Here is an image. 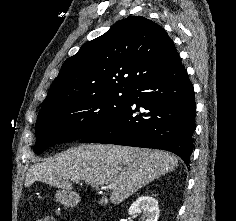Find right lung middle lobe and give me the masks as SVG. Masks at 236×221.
I'll list each match as a JSON object with an SVG mask.
<instances>
[{"mask_svg": "<svg viewBox=\"0 0 236 221\" xmlns=\"http://www.w3.org/2000/svg\"><path fill=\"white\" fill-rule=\"evenodd\" d=\"M129 97L130 90L109 91L42 108L35 127V152L41 154L53 144L82 139L99 129Z\"/></svg>", "mask_w": 236, "mask_h": 221, "instance_id": "right-lung-middle-lobe-1", "label": "right lung middle lobe"}]
</instances>
